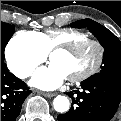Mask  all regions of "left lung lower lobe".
Instances as JSON below:
<instances>
[{
	"mask_svg": "<svg viewBox=\"0 0 121 121\" xmlns=\"http://www.w3.org/2000/svg\"><path fill=\"white\" fill-rule=\"evenodd\" d=\"M82 90L68 92L71 109L58 116V121H109L117 111L121 99V84L105 79H87Z\"/></svg>",
	"mask_w": 121,
	"mask_h": 121,
	"instance_id": "1",
	"label": "left lung lower lobe"
}]
</instances>
